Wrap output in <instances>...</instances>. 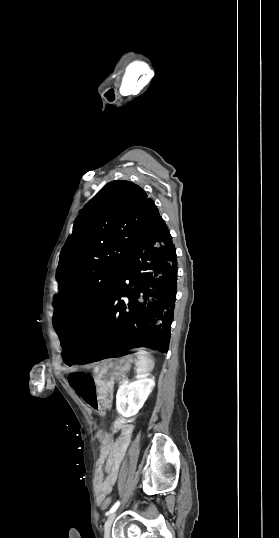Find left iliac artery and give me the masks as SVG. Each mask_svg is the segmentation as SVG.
Instances as JSON below:
<instances>
[{"instance_id":"1","label":"left iliac artery","mask_w":279,"mask_h":538,"mask_svg":"<svg viewBox=\"0 0 279 538\" xmlns=\"http://www.w3.org/2000/svg\"><path fill=\"white\" fill-rule=\"evenodd\" d=\"M119 505H120V501H117V502L112 506V508L110 509V511L107 513V515H109V514L115 512V511L117 510V508L119 507Z\"/></svg>"}]
</instances>
